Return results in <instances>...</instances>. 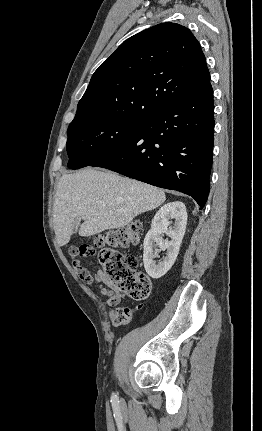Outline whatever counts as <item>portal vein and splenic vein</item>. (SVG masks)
Segmentation results:
<instances>
[{
    "label": "portal vein and splenic vein",
    "mask_w": 262,
    "mask_h": 431,
    "mask_svg": "<svg viewBox=\"0 0 262 431\" xmlns=\"http://www.w3.org/2000/svg\"><path fill=\"white\" fill-rule=\"evenodd\" d=\"M99 204H100V206H102V207H105V206H106V204H105L104 202H100Z\"/></svg>",
    "instance_id": "1"
}]
</instances>
